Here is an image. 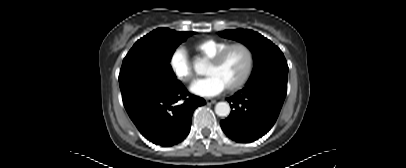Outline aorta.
Segmentation results:
<instances>
[{"mask_svg":"<svg viewBox=\"0 0 406 168\" xmlns=\"http://www.w3.org/2000/svg\"><path fill=\"white\" fill-rule=\"evenodd\" d=\"M205 68V64L203 61H195L194 69L198 74H202ZM230 105L227 102H218L215 106V113L218 116L226 117L230 114Z\"/></svg>","mask_w":406,"mask_h":168,"instance_id":"1","label":"aorta"}]
</instances>
